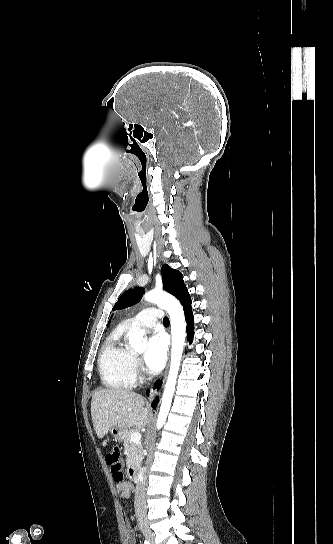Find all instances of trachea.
I'll return each mask as SVG.
<instances>
[{
    "label": "trachea",
    "instance_id": "3493384b",
    "mask_svg": "<svg viewBox=\"0 0 333 544\" xmlns=\"http://www.w3.org/2000/svg\"><path fill=\"white\" fill-rule=\"evenodd\" d=\"M169 323H170V322H169L168 317H164V318H163V324H169Z\"/></svg>",
    "mask_w": 333,
    "mask_h": 544
}]
</instances>
